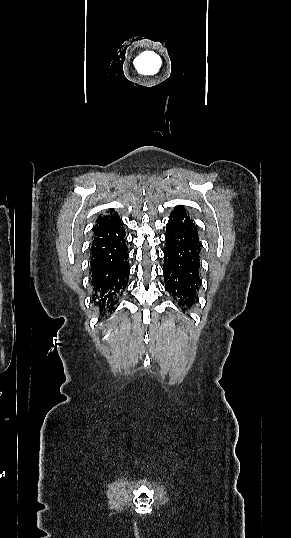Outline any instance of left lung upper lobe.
<instances>
[{
	"mask_svg": "<svg viewBox=\"0 0 291 538\" xmlns=\"http://www.w3.org/2000/svg\"><path fill=\"white\" fill-rule=\"evenodd\" d=\"M176 209H184V207L182 205H179L177 207H175Z\"/></svg>",
	"mask_w": 291,
	"mask_h": 538,
	"instance_id": "1",
	"label": "left lung upper lobe"
}]
</instances>
